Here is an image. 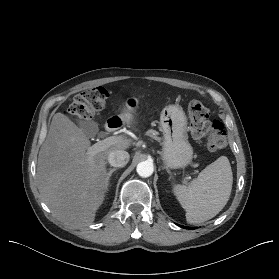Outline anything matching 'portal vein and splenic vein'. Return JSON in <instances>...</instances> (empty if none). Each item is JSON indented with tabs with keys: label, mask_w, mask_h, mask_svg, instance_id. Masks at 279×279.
<instances>
[{
	"label": "portal vein and splenic vein",
	"mask_w": 279,
	"mask_h": 279,
	"mask_svg": "<svg viewBox=\"0 0 279 279\" xmlns=\"http://www.w3.org/2000/svg\"><path fill=\"white\" fill-rule=\"evenodd\" d=\"M125 138L123 136H111L107 137L104 140L98 141L93 146L88 149L89 155H94L97 152L103 151L106 148H109L112 145L124 142Z\"/></svg>",
	"instance_id": "portal-vein-and-splenic-vein-1"
}]
</instances>
